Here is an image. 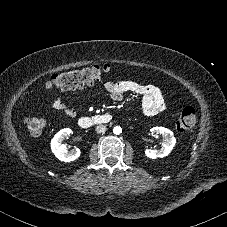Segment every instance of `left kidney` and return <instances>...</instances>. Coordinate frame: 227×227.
<instances>
[{
	"mask_svg": "<svg viewBox=\"0 0 227 227\" xmlns=\"http://www.w3.org/2000/svg\"><path fill=\"white\" fill-rule=\"evenodd\" d=\"M151 132L162 135L163 142L160 149H146L145 155L148 158L156 159L166 157L174 148L176 139L171 130L164 127H153L150 129Z\"/></svg>",
	"mask_w": 227,
	"mask_h": 227,
	"instance_id": "obj_1",
	"label": "left kidney"
}]
</instances>
